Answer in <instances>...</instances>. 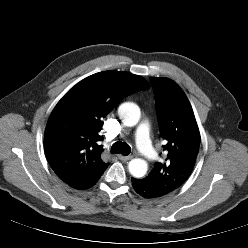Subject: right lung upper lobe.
<instances>
[{
    "instance_id": "1",
    "label": "right lung upper lobe",
    "mask_w": 248,
    "mask_h": 248,
    "mask_svg": "<svg viewBox=\"0 0 248 248\" xmlns=\"http://www.w3.org/2000/svg\"><path fill=\"white\" fill-rule=\"evenodd\" d=\"M148 88L138 75L110 70L83 79L62 97L49 117L44 147L63 182L78 190L97 183L109 165L102 161L98 144L103 119L121 99Z\"/></svg>"
}]
</instances>
